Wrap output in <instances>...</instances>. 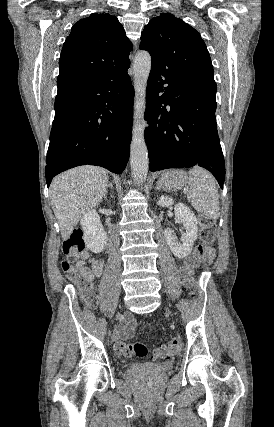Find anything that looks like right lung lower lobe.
<instances>
[{
  "instance_id": "right-lung-lower-lobe-1",
  "label": "right lung lower lobe",
  "mask_w": 274,
  "mask_h": 427,
  "mask_svg": "<svg viewBox=\"0 0 274 427\" xmlns=\"http://www.w3.org/2000/svg\"><path fill=\"white\" fill-rule=\"evenodd\" d=\"M129 67L84 91L55 100L45 168L52 178L79 165H97L120 174L132 137L134 88Z\"/></svg>"
}]
</instances>
